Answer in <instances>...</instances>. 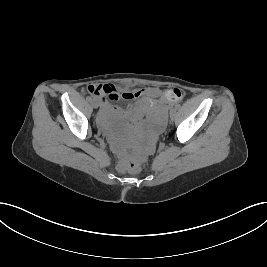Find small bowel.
I'll use <instances>...</instances> for the list:
<instances>
[{"label": "small bowel", "mask_w": 267, "mask_h": 267, "mask_svg": "<svg viewBox=\"0 0 267 267\" xmlns=\"http://www.w3.org/2000/svg\"><path fill=\"white\" fill-rule=\"evenodd\" d=\"M88 90L93 94L95 102H101L102 94L93 93V86H89ZM127 98L134 101L131 107L136 109H148L151 115L163 113L167 107L176 101L170 91H161L157 88H150L141 91H134L126 94ZM143 96L141 99H138ZM159 98V101L156 99ZM109 107V105L105 104Z\"/></svg>", "instance_id": "1"}]
</instances>
